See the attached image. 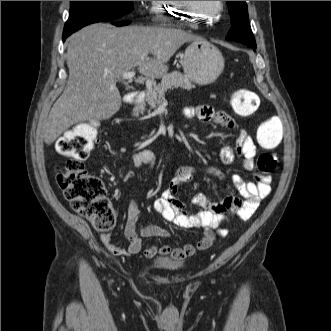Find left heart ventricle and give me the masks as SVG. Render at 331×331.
Wrapping results in <instances>:
<instances>
[{"mask_svg":"<svg viewBox=\"0 0 331 331\" xmlns=\"http://www.w3.org/2000/svg\"><path fill=\"white\" fill-rule=\"evenodd\" d=\"M197 10L205 14H213L217 7V1H192Z\"/></svg>","mask_w":331,"mask_h":331,"instance_id":"left-heart-ventricle-1","label":"left heart ventricle"}]
</instances>
